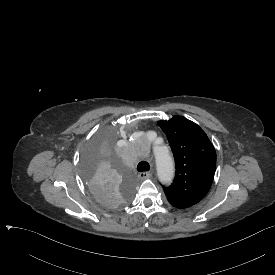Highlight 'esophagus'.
Listing matches in <instances>:
<instances>
[{"label":"esophagus","mask_w":275,"mask_h":275,"mask_svg":"<svg viewBox=\"0 0 275 275\" xmlns=\"http://www.w3.org/2000/svg\"><path fill=\"white\" fill-rule=\"evenodd\" d=\"M138 176L141 178V179H149L151 177V173L150 172H147V171H144V172H140L138 174Z\"/></svg>","instance_id":"obj_1"}]
</instances>
